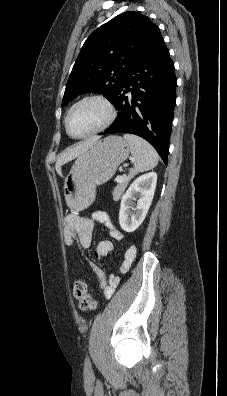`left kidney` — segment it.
<instances>
[{
	"label": "left kidney",
	"instance_id": "obj_1",
	"mask_svg": "<svg viewBox=\"0 0 227 396\" xmlns=\"http://www.w3.org/2000/svg\"><path fill=\"white\" fill-rule=\"evenodd\" d=\"M156 183L157 174L149 172L136 178L130 185L121 199L119 224L122 230L133 232L142 224L153 200Z\"/></svg>",
	"mask_w": 227,
	"mask_h": 396
}]
</instances>
